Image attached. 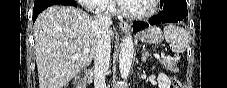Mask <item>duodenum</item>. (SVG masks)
Masks as SVG:
<instances>
[{"mask_svg":"<svg viewBox=\"0 0 227 88\" xmlns=\"http://www.w3.org/2000/svg\"><path fill=\"white\" fill-rule=\"evenodd\" d=\"M87 77H88V72L84 71L76 78V82L79 85V88L87 87Z\"/></svg>","mask_w":227,"mask_h":88,"instance_id":"410a0bca","label":"duodenum"}]
</instances>
